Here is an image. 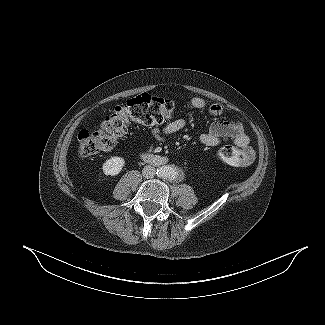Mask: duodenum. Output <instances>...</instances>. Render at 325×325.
<instances>
[{"instance_id":"410a0bca","label":"duodenum","mask_w":325,"mask_h":325,"mask_svg":"<svg viewBox=\"0 0 325 325\" xmlns=\"http://www.w3.org/2000/svg\"><path fill=\"white\" fill-rule=\"evenodd\" d=\"M141 157L148 163L154 166H161L168 163V158L165 156L152 154V153H141Z\"/></svg>"}]
</instances>
